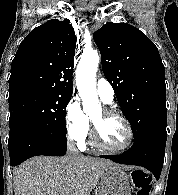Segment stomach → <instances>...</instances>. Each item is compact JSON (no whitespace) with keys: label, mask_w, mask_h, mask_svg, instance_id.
<instances>
[{"label":"stomach","mask_w":178,"mask_h":195,"mask_svg":"<svg viewBox=\"0 0 178 195\" xmlns=\"http://www.w3.org/2000/svg\"><path fill=\"white\" fill-rule=\"evenodd\" d=\"M124 167H112L101 178L98 195H132V176Z\"/></svg>","instance_id":"obj_1"}]
</instances>
